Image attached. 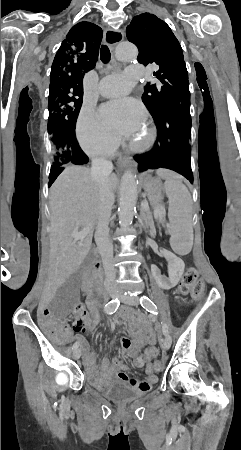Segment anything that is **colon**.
<instances>
[{"label":"colon","instance_id":"colon-1","mask_svg":"<svg viewBox=\"0 0 241 450\" xmlns=\"http://www.w3.org/2000/svg\"><path fill=\"white\" fill-rule=\"evenodd\" d=\"M179 292L183 295L193 294L194 300L196 302H201L203 300L204 295V286L203 281L198 280V273L196 269L190 268L188 269L180 282ZM204 302V301H203ZM86 303L83 300L77 302L73 313L75 315L83 316L86 313L85 310ZM157 369H160L161 366L157 364Z\"/></svg>","mask_w":241,"mask_h":450}]
</instances>
